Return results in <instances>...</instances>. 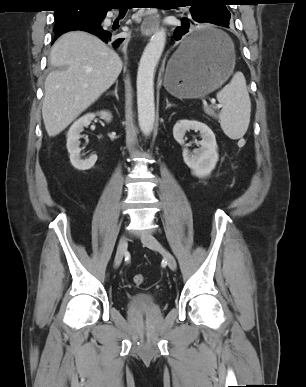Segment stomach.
Masks as SVG:
<instances>
[{
	"mask_svg": "<svg viewBox=\"0 0 306 387\" xmlns=\"http://www.w3.org/2000/svg\"><path fill=\"white\" fill-rule=\"evenodd\" d=\"M211 31L216 40L207 51L184 57L181 45L168 61L164 86L170 94L179 98L203 97L219 88L233 72L235 51L231 39L220 30Z\"/></svg>",
	"mask_w": 306,
	"mask_h": 387,
	"instance_id": "stomach-1",
	"label": "stomach"
}]
</instances>
